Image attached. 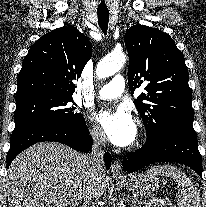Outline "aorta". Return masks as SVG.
I'll list each match as a JSON object with an SVG mask.
<instances>
[{
  "instance_id": "obj_1",
  "label": "aorta",
  "mask_w": 206,
  "mask_h": 207,
  "mask_svg": "<svg viewBox=\"0 0 206 207\" xmlns=\"http://www.w3.org/2000/svg\"><path fill=\"white\" fill-rule=\"evenodd\" d=\"M124 53L112 52L104 57L97 65L96 74L99 78H106L117 73L125 64Z\"/></svg>"
}]
</instances>
